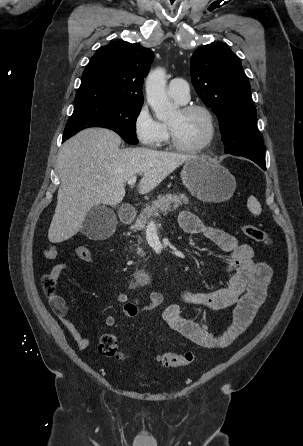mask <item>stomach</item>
<instances>
[{"label":"stomach","mask_w":303,"mask_h":446,"mask_svg":"<svg viewBox=\"0 0 303 446\" xmlns=\"http://www.w3.org/2000/svg\"><path fill=\"white\" fill-rule=\"evenodd\" d=\"M181 178L189 192L205 202L227 201L236 189V180L228 169L202 157L186 161Z\"/></svg>","instance_id":"stomach-1"}]
</instances>
